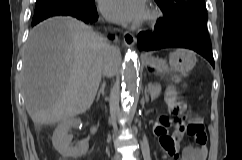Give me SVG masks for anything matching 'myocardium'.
Returning a JSON list of instances; mask_svg holds the SVG:
<instances>
[{
  "label": "myocardium",
  "instance_id": "obj_1",
  "mask_svg": "<svg viewBox=\"0 0 242 160\" xmlns=\"http://www.w3.org/2000/svg\"><path fill=\"white\" fill-rule=\"evenodd\" d=\"M161 17L162 12L159 9L156 7H150L143 18V25L146 27H154L157 25Z\"/></svg>",
  "mask_w": 242,
  "mask_h": 160
}]
</instances>
